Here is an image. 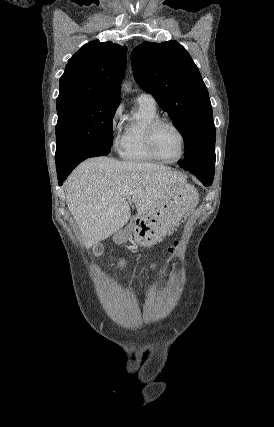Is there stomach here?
Returning <instances> with one entry per match:
<instances>
[{"label":"stomach","instance_id":"1","mask_svg":"<svg viewBox=\"0 0 274 427\" xmlns=\"http://www.w3.org/2000/svg\"><path fill=\"white\" fill-rule=\"evenodd\" d=\"M195 196V188L184 184L181 194H175V200L172 198L171 202H161L160 206H156L148 214L133 215L130 223L113 235V241L126 243L129 235H134L140 245L151 247L178 225V215H185L187 210L194 208Z\"/></svg>","mask_w":274,"mask_h":427}]
</instances>
